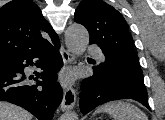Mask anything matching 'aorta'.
<instances>
[{"label": "aorta", "mask_w": 165, "mask_h": 120, "mask_svg": "<svg viewBox=\"0 0 165 120\" xmlns=\"http://www.w3.org/2000/svg\"><path fill=\"white\" fill-rule=\"evenodd\" d=\"M65 42L71 53L82 55L89 43L87 29L81 24H71L65 32ZM61 120H78V116L75 112H68L61 117Z\"/></svg>", "instance_id": "obj_1"}]
</instances>
